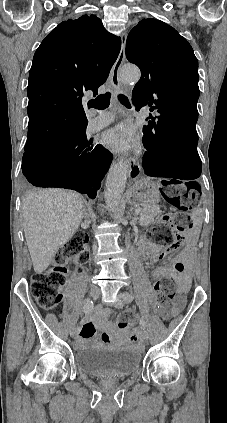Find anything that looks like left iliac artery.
Returning a JSON list of instances; mask_svg holds the SVG:
<instances>
[{
    "mask_svg": "<svg viewBox=\"0 0 227 423\" xmlns=\"http://www.w3.org/2000/svg\"><path fill=\"white\" fill-rule=\"evenodd\" d=\"M133 299H134V297L131 294H129L127 292L124 293V296H123L124 302H131ZM139 324H140L142 329L146 328V324H145L143 317L140 318Z\"/></svg>",
    "mask_w": 227,
    "mask_h": 423,
    "instance_id": "left-iliac-artery-1",
    "label": "left iliac artery"
}]
</instances>
